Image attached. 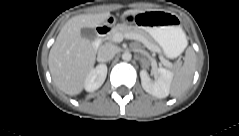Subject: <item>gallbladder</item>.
I'll return each mask as SVG.
<instances>
[{
    "label": "gallbladder",
    "mask_w": 239,
    "mask_h": 136,
    "mask_svg": "<svg viewBox=\"0 0 239 136\" xmlns=\"http://www.w3.org/2000/svg\"><path fill=\"white\" fill-rule=\"evenodd\" d=\"M81 36L89 41L96 39V32L93 28L84 27L81 29Z\"/></svg>",
    "instance_id": "bac80fb5"
}]
</instances>
